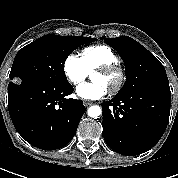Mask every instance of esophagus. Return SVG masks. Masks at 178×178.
<instances>
[{
    "label": "esophagus",
    "instance_id": "obj_1",
    "mask_svg": "<svg viewBox=\"0 0 178 178\" xmlns=\"http://www.w3.org/2000/svg\"><path fill=\"white\" fill-rule=\"evenodd\" d=\"M92 104V102H90V101H84V106L85 107H88V106H90Z\"/></svg>",
    "mask_w": 178,
    "mask_h": 178
}]
</instances>
